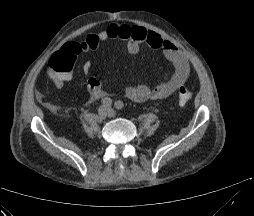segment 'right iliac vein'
<instances>
[{"mask_svg": "<svg viewBox=\"0 0 254 216\" xmlns=\"http://www.w3.org/2000/svg\"><path fill=\"white\" fill-rule=\"evenodd\" d=\"M109 114V108L106 107V106H101L99 109H98V117L100 119H105Z\"/></svg>", "mask_w": 254, "mask_h": 216, "instance_id": "1", "label": "right iliac vein"}]
</instances>
